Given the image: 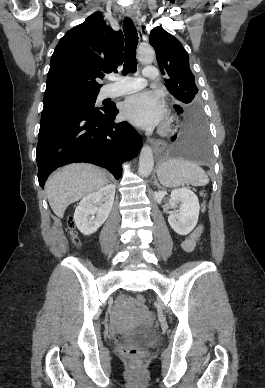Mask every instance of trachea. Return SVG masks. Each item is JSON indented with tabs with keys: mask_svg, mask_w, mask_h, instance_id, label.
Masks as SVG:
<instances>
[{
	"mask_svg": "<svg viewBox=\"0 0 265 388\" xmlns=\"http://www.w3.org/2000/svg\"><path fill=\"white\" fill-rule=\"evenodd\" d=\"M123 30L126 37V44L124 49V69L123 75L129 72H135L137 69L136 48L138 44V33L131 18L125 17L123 21Z\"/></svg>",
	"mask_w": 265,
	"mask_h": 388,
	"instance_id": "trachea-1",
	"label": "trachea"
}]
</instances>
